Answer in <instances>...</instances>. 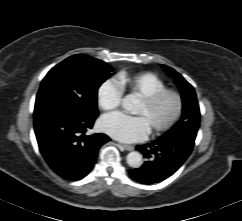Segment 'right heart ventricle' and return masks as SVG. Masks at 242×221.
Returning <instances> with one entry per match:
<instances>
[{
    "mask_svg": "<svg viewBox=\"0 0 242 221\" xmlns=\"http://www.w3.org/2000/svg\"><path fill=\"white\" fill-rule=\"evenodd\" d=\"M116 82L122 91L136 94L140 97L152 94L166 87L164 81L152 72H120L116 76Z\"/></svg>",
    "mask_w": 242,
    "mask_h": 221,
    "instance_id": "right-heart-ventricle-1",
    "label": "right heart ventricle"
}]
</instances>
